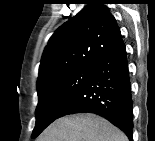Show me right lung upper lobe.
Listing matches in <instances>:
<instances>
[{
	"label": "right lung upper lobe",
	"instance_id": "1",
	"mask_svg": "<svg viewBox=\"0 0 155 141\" xmlns=\"http://www.w3.org/2000/svg\"><path fill=\"white\" fill-rule=\"evenodd\" d=\"M105 3H89L51 36L41 59L37 84L76 68H94L120 39L121 32Z\"/></svg>",
	"mask_w": 155,
	"mask_h": 141
}]
</instances>
